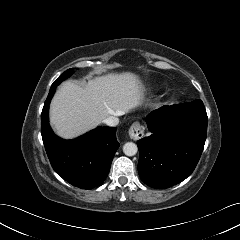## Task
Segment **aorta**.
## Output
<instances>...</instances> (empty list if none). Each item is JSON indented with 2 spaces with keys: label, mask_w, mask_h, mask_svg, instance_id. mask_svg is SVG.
I'll return each instance as SVG.
<instances>
[{
  "label": "aorta",
  "mask_w": 240,
  "mask_h": 240,
  "mask_svg": "<svg viewBox=\"0 0 240 240\" xmlns=\"http://www.w3.org/2000/svg\"><path fill=\"white\" fill-rule=\"evenodd\" d=\"M138 151V147L133 142H127L123 146V152L126 156H134Z\"/></svg>",
  "instance_id": "aorta-1"
}]
</instances>
